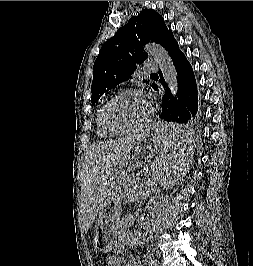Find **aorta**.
Masks as SVG:
<instances>
[{
    "instance_id": "1",
    "label": "aorta",
    "mask_w": 253,
    "mask_h": 266,
    "mask_svg": "<svg viewBox=\"0 0 253 266\" xmlns=\"http://www.w3.org/2000/svg\"><path fill=\"white\" fill-rule=\"evenodd\" d=\"M146 51L158 62L166 84L174 96L177 95L178 77L168 52L159 44H149Z\"/></svg>"
}]
</instances>
